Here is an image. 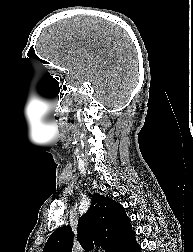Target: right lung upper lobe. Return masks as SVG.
Wrapping results in <instances>:
<instances>
[{
	"mask_svg": "<svg viewBox=\"0 0 193 252\" xmlns=\"http://www.w3.org/2000/svg\"><path fill=\"white\" fill-rule=\"evenodd\" d=\"M88 211L79 218L77 238L85 251L101 246L106 252L116 250L131 236L130 219L116 201L100 194L92 195ZM71 226L58 228L51 234L43 252H72Z\"/></svg>",
	"mask_w": 193,
	"mask_h": 252,
	"instance_id": "1",
	"label": "right lung upper lobe"
}]
</instances>
